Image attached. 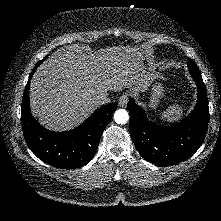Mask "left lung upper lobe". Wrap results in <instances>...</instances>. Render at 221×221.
I'll list each match as a JSON object with an SVG mask.
<instances>
[{
  "label": "left lung upper lobe",
  "mask_w": 221,
  "mask_h": 221,
  "mask_svg": "<svg viewBox=\"0 0 221 221\" xmlns=\"http://www.w3.org/2000/svg\"><path fill=\"white\" fill-rule=\"evenodd\" d=\"M188 68L191 72L192 77H201L200 71L192 59L188 60Z\"/></svg>",
  "instance_id": "5c2ea615"
}]
</instances>
